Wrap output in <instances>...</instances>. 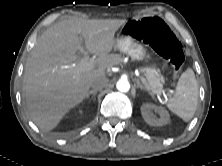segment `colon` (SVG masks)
<instances>
[{"instance_id":"1","label":"colon","mask_w":222,"mask_h":166,"mask_svg":"<svg viewBox=\"0 0 222 166\" xmlns=\"http://www.w3.org/2000/svg\"><path fill=\"white\" fill-rule=\"evenodd\" d=\"M123 33L149 44L169 62L175 74L179 73L185 60L184 53L180 42L162 19L156 16L139 18L126 24Z\"/></svg>"}]
</instances>
